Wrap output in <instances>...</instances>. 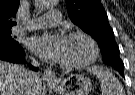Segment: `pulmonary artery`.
<instances>
[{"label":"pulmonary artery","mask_w":135,"mask_h":95,"mask_svg":"<svg viewBox=\"0 0 135 95\" xmlns=\"http://www.w3.org/2000/svg\"><path fill=\"white\" fill-rule=\"evenodd\" d=\"M62 15L58 10H50L41 17L34 18L30 21L26 29L35 30L46 26H54L60 24Z\"/></svg>","instance_id":"obj_1"}]
</instances>
